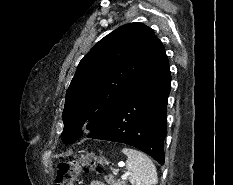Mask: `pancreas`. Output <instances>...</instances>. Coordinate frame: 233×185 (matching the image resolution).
<instances>
[{
  "label": "pancreas",
  "instance_id": "obj_1",
  "mask_svg": "<svg viewBox=\"0 0 233 185\" xmlns=\"http://www.w3.org/2000/svg\"><path fill=\"white\" fill-rule=\"evenodd\" d=\"M104 180L106 181L108 185H126L125 181L115 180L112 175L105 176Z\"/></svg>",
  "mask_w": 233,
  "mask_h": 185
}]
</instances>
